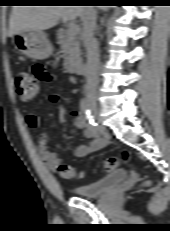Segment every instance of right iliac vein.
Listing matches in <instances>:
<instances>
[{"instance_id":"right-iliac-vein-1","label":"right iliac vein","mask_w":170,"mask_h":231,"mask_svg":"<svg viewBox=\"0 0 170 231\" xmlns=\"http://www.w3.org/2000/svg\"><path fill=\"white\" fill-rule=\"evenodd\" d=\"M87 101H88L89 109H90L92 115L95 117V119L97 120V122L100 124V120H99V108H98V105L96 103L95 95L94 94L88 95L87 96ZM100 130L101 131H105V127H103L102 125H100Z\"/></svg>"}]
</instances>
